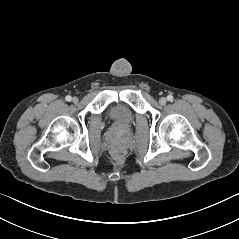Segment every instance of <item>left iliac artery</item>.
I'll list each match as a JSON object with an SVG mask.
<instances>
[{
  "instance_id": "left-iliac-artery-1",
  "label": "left iliac artery",
  "mask_w": 239,
  "mask_h": 239,
  "mask_svg": "<svg viewBox=\"0 0 239 239\" xmlns=\"http://www.w3.org/2000/svg\"><path fill=\"white\" fill-rule=\"evenodd\" d=\"M173 99H174V98H173V96H172V95H168V96H167V100H168V101L172 102V101H173Z\"/></svg>"
}]
</instances>
